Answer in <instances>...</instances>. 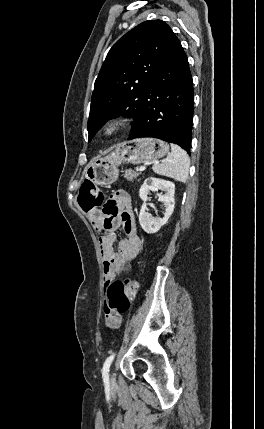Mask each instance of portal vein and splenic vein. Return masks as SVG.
Returning <instances> with one entry per match:
<instances>
[{"instance_id": "portal-vein-and-splenic-vein-1", "label": "portal vein and splenic vein", "mask_w": 264, "mask_h": 429, "mask_svg": "<svg viewBox=\"0 0 264 429\" xmlns=\"http://www.w3.org/2000/svg\"><path fill=\"white\" fill-rule=\"evenodd\" d=\"M146 169V166H141V167H139L137 170L138 171H140V172H142V171H144Z\"/></svg>"}]
</instances>
